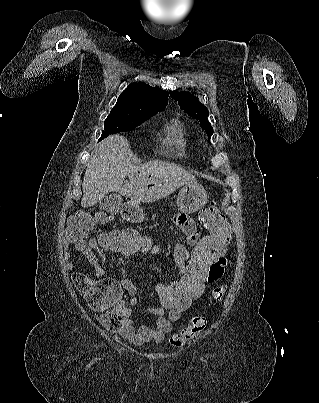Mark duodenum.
Returning a JSON list of instances; mask_svg holds the SVG:
<instances>
[{
    "mask_svg": "<svg viewBox=\"0 0 319 403\" xmlns=\"http://www.w3.org/2000/svg\"><path fill=\"white\" fill-rule=\"evenodd\" d=\"M136 205L135 204H125L123 206L122 212L125 217H132L135 213Z\"/></svg>",
    "mask_w": 319,
    "mask_h": 403,
    "instance_id": "410a0bca",
    "label": "duodenum"
}]
</instances>
